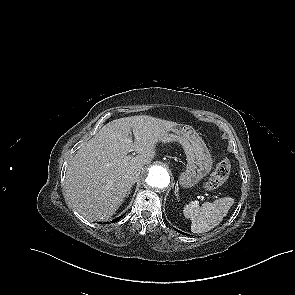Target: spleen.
I'll return each mask as SVG.
<instances>
[{"label":"spleen","instance_id":"3e777b00","mask_svg":"<svg viewBox=\"0 0 295 295\" xmlns=\"http://www.w3.org/2000/svg\"><path fill=\"white\" fill-rule=\"evenodd\" d=\"M233 204L231 197L220 198L213 203L205 202L201 206L191 202L184 206L183 214L191 220L193 233H204L219 225Z\"/></svg>","mask_w":295,"mask_h":295}]
</instances>
